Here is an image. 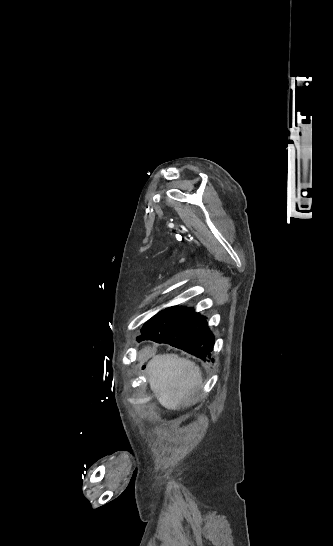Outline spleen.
<instances>
[{
	"instance_id": "3e777b00",
	"label": "spleen",
	"mask_w": 333,
	"mask_h": 546,
	"mask_svg": "<svg viewBox=\"0 0 333 546\" xmlns=\"http://www.w3.org/2000/svg\"><path fill=\"white\" fill-rule=\"evenodd\" d=\"M146 374L157 400L169 410L188 406L202 388L199 366L176 354L154 356L147 364Z\"/></svg>"
}]
</instances>
